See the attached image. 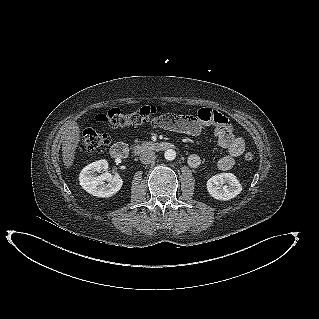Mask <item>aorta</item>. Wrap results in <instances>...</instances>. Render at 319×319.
Returning <instances> with one entry per match:
<instances>
[{
	"mask_svg": "<svg viewBox=\"0 0 319 319\" xmlns=\"http://www.w3.org/2000/svg\"><path fill=\"white\" fill-rule=\"evenodd\" d=\"M164 157L168 161H172L176 158V152L173 149H168L164 153Z\"/></svg>",
	"mask_w": 319,
	"mask_h": 319,
	"instance_id": "obj_1",
	"label": "aorta"
}]
</instances>
